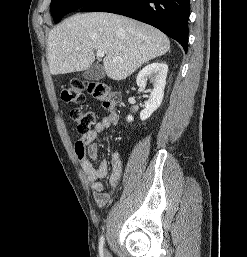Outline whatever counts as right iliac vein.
<instances>
[{
    "label": "right iliac vein",
    "instance_id": "right-iliac-vein-1",
    "mask_svg": "<svg viewBox=\"0 0 247 257\" xmlns=\"http://www.w3.org/2000/svg\"><path fill=\"white\" fill-rule=\"evenodd\" d=\"M105 257H111L108 252L105 253Z\"/></svg>",
    "mask_w": 247,
    "mask_h": 257
}]
</instances>
